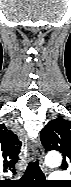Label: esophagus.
Masks as SVG:
<instances>
[{"label":"esophagus","instance_id":"1","mask_svg":"<svg viewBox=\"0 0 71 187\" xmlns=\"http://www.w3.org/2000/svg\"><path fill=\"white\" fill-rule=\"evenodd\" d=\"M31 155H32L33 160H39L41 164L44 166V163H43L44 149L38 138L32 142Z\"/></svg>","mask_w":71,"mask_h":187}]
</instances>
